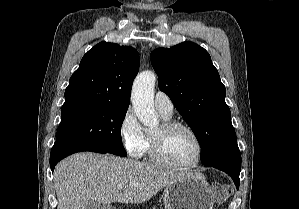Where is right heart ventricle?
Wrapping results in <instances>:
<instances>
[{
	"instance_id": "obj_1",
	"label": "right heart ventricle",
	"mask_w": 299,
	"mask_h": 209,
	"mask_svg": "<svg viewBox=\"0 0 299 209\" xmlns=\"http://www.w3.org/2000/svg\"><path fill=\"white\" fill-rule=\"evenodd\" d=\"M164 119L169 120L170 118L164 117ZM144 153H148L150 155V139L147 137V144L145 146Z\"/></svg>"
}]
</instances>
